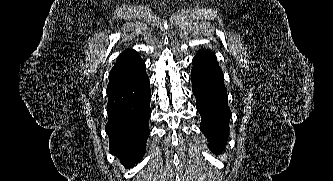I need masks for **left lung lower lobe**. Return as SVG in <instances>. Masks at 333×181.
I'll return each mask as SVG.
<instances>
[{
	"label": "left lung lower lobe",
	"mask_w": 333,
	"mask_h": 181,
	"mask_svg": "<svg viewBox=\"0 0 333 181\" xmlns=\"http://www.w3.org/2000/svg\"><path fill=\"white\" fill-rule=\"evenodd\" d=\"M191 80L196 107L202 118L201 130L209 140V149L220 154L229 137L231 111L224 76L213 53L201 51L196 54Z\"/></svg>",
	"instance_id": "left-lung-lower-lobe-1"
}]
</instances>
